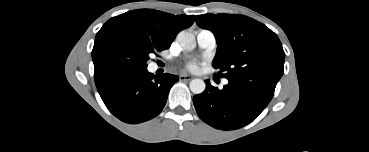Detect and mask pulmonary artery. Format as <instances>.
Segmentation results:
<instances>
[{
  "instance_id": "1",
  "label": "pulmonary artery",
  "mask_w": 369,
  "mask_h": 152,
  "mask_svg": "<svg viewBox=\"0 0 369 152\" xmlns=\"http://www.w3.org/2000/svg\"><path fill=\"white\" fill-rule=\"evenodd\" d=\"M196 38H197L198 46L207 52L213 50L214 47L216 46V37L214 33L208 29L200 30L197 33ZM223 83L227 84L228 81L225 80Z\"/></svg>"
}]
</instances>
